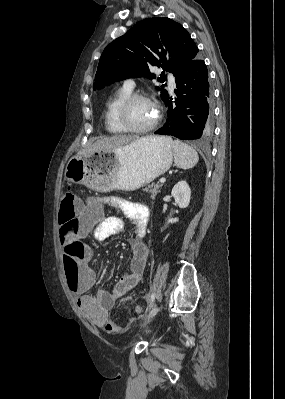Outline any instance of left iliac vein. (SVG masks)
<instances>
[{"label": "left iliac vein", "mask_w": 285, "mask_h": 399, "mask_svg": "<svg viewBox=\"0 0 285 399\" xmlns=\"http://www.w3.org/2000/svg\"><path fill=\"white\" fill-rule=\"evenodd\" d=\"M159 311H160V307L154 306L153 309L147 315V317L145 319V323L149 322Z\"/></svg>", "instance_id": "obj_1"}]
</instances>
